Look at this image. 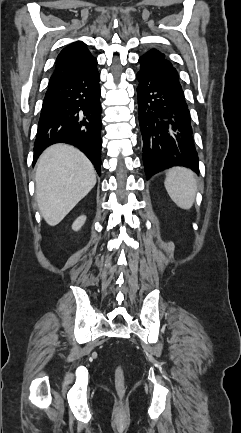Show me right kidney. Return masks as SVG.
<instances>
[{
  "mask_svg": "<svg viewBox=\"0 0 241 433\" xmlns=\"http://www.w3.org/2000/svg\"><path fill=\"white\" fill-rule=\"evenodd\" d=\"M85 221H86V216H84V215L79 216V217H78V218L73 222V224H72V229H73L74 231H78V230H80L81 227L84 225Z\"/></svg>",
  "mask_w": 241,
  "mask_h": 433,
  "instance_id": "right-kidney-1",
  "label": "right kidney"
}]
</instances>
